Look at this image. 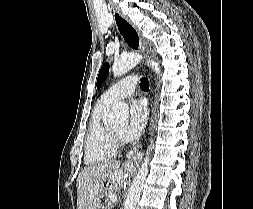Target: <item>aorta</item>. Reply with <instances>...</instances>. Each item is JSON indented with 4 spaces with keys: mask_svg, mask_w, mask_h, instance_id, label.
Instances as JSON below:
<instances>
[{
    "mask_svg": "<svg viewBox=\"0 0 253 209\" xmlns=\"http://www.w3.org/2000/svg\"><path fill=\"white\" fill-rule=\"evenodd\" d=\"M142 56L137 53H129L122 56L119 60L115 61L112 66V73L114 77H120L134 68L141 60ZM147 64L152 67L156 74L160 73L158 63L148 59ZM128 118V107L125 104H116L112 112L109 114L108 122L111 124L124 122ZM157 121V120H156ZM155 127V126H154ZM154 147L153 140L148 147L144 161L142 162L137 175L129 189L128 196L124 202V209H136L138 201L141 197L143 185L148 174V165L150 160V153Z\"/></svg>",
    "mask_w": 253,
    "mask_h": 209,
    "instance_id": "aorta-1",
    "label": "aorta"
}]
</instances>
